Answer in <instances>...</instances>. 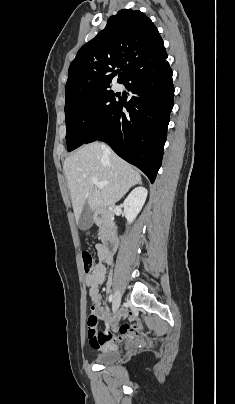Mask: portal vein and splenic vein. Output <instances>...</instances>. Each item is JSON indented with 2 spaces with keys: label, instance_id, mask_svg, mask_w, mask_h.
Instances as JSON below:
<instances>
[{
  "label": "portal vein and splenic vein",
  "instance_id": "obj_1",
  "mask_svg": "<svg viewBox=\"0 0 235 404\" xmlns=\"http://www.w3.org/2000/svg\"><path fill=\"white\" fill-rule=\"evenodd\" d=\"M91 180L98 188H103L105 185H107L106 182L99 181L96 177H92Z\"/></svg>",
  "mask_w": 235,
  "mask_h": 404
}]
</instances>
